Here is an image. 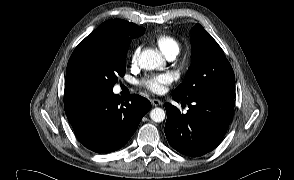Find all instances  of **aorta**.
Returning <instances> with one entry per match:
<instances>
[{
    "label": "aorta",
    "mask_w": 294,
    "mask_h": 180,
    "mask_svg": "<svg viewBox=\"0 0 294 180\" xmlns=\"http://www.w3.org/2000/svg\"><path fill=\"white\" fill-rule=\"evenodd\" d=\"M139 65L146 70L162 69L165 60L161 54L154 49L144 50L139 57ZM150 118L154 122H162L165 119V112L162 108H154L150 112Z\"/></svg>",
    "instance_id": "762f6f07"
}]
</instances>
